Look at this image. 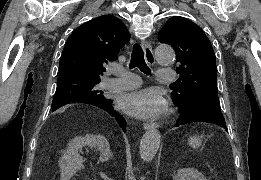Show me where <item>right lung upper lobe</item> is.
Instances as JSON below:
<instances>
[{"label": "right lung upper lobe", "instance_id": "obj_1", "mask_svg": "<svg viewBox=\"0 0 261 180\" xmlns=\"http://www.w3.org/2000/svg\"><path fill=\"white\" fill-rule=\"evenodd\" d=\"M130 34L115 16L103 15L79 26L68 38L61 55L58 82L100 80L108 61L117 59Z\"/></svg>", "mask_w": 261, "mask_h": 180}]
</instances>
